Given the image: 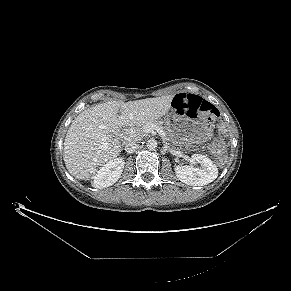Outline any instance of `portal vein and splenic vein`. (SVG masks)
<instances>
[{
    "label": "portal vein and splenic vein",
    "mask_w": 291,
    "mask_h": 291,
    "mask_svg": "<svg viewBox=\"0 0 291 291\" xmlns=\"http://www.w3.org/2000/svg\"><path fill=\"white\" fill-rule=\"evenodd\" d=\"M151 130H156L161 136H165L164 131L162 130L161 127H158L156 125H150Z\"/></svg>",
    "instance_id": "obj_1"
}]
</instances>
